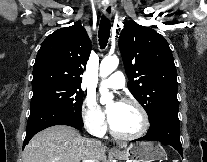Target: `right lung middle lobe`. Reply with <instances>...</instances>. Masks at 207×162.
<instances>
[{
    "label": "right lung middle lobe",
    "instance_id": "right-lung-middle-lobe-1",
    "mask_svg": "<svg viewBox=\"0 0 207 162\" xmlns=\"http://www.w3.org/2000/svg\"><path fill=\"white\" fill-rule=\"evenodd\" d=\"M84 93L79 87L47 84L33 87L31 109L38 106H55L81 117Z\"/></svg>",
    "mask_w": 207,
    "mask_h": 162
}]
</instances>
